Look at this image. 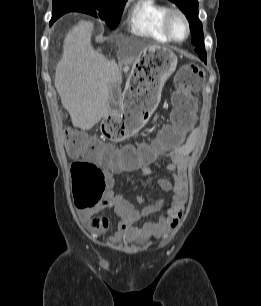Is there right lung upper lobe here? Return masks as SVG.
<instances>
[{
    "instance_id": "cb5924a9",
    "label": "right lung upper lobe",
    "mask_w": 261,
    "mask_h": 306,
    "mask_svg": "<svg viewBox=\"0 0 261 306\" xmlns=\"http://www.w3.org/2000/svg\"><path fill=\"white\" fill-rule=\"evenodd\" d=\"M74 0H53V3H58V2H70Z\"/></svg>"
}]
</instances>
